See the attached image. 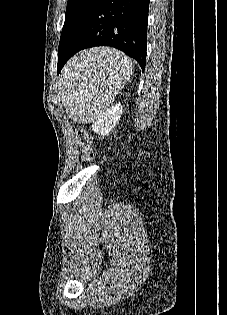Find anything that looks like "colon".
I'll return each mask as SVG.
<instances>
[{
    "instance_id": "colon-1",
    "label": "colon",
    "mask_w": 227,
    "mask_h": 315,
    "mask_svg": "<svg viewBox=\"0 0 227 315\" xmlns=\"http://www.w3.org/2000/svg\"><path fill=\"white\" fill-rule=\"evenodd\" d=\"M76 139L81 149V158L85 162H89L94 158V149L92 146V136L83 128H79L76 132Z\"/></svg>"
}]
</instances>
